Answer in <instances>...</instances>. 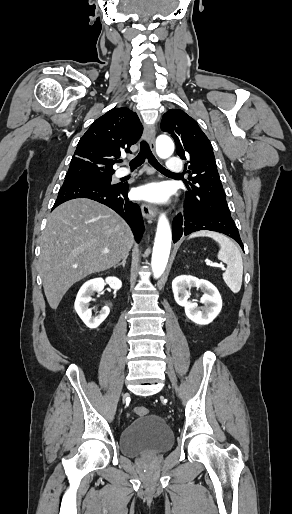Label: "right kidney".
Here are the masks:
<instances>
[{"mask_svg": "<svg viewBox=\"0 0 292 514\" xmlns=\"http://www.w3.org/2000/svg\"><path fill=\"white\" fill-rule=\"evenodd\" d=\"M105 282L106 284H109L112 290H120L122 286V282L121 280H118V278H106V280H102V278H94V280H88V282H85V284L81 286L75 300L74 308L78 316H80L84 324H86L88 328H91V330L98 328L110 312L109 308L104 306L98 316H92V312L89 308V302L92 300L90 296H93L94 292H98V294H100L105 286Z\"/></svg>", "mask_w": 292, "mask_h": 514, "instance_id": "right-kidney-1", "label": "right kidney"}]
</instances>
